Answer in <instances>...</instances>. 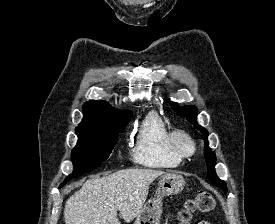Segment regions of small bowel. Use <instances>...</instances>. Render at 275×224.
<instances>
[{"mask_svg":"<svg viewBox=\"0 0 275 224\" xmlns=\"http://www.w3.org/2000/svg\"><path fill=\"white\" fill-rule=\"evenodd\" d=\"M198 224H210V223L207 222V221H201V222H199Z\"/></svg>","mask_w":275,"mask_h":224,"instance_id":"1","label":"small bowel"}]
</instances>
